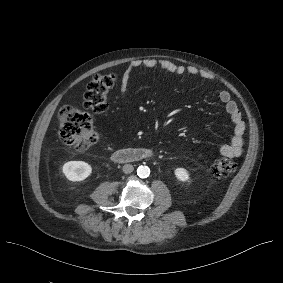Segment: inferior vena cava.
Segmentation results:
<instances>
[{
	"label": "inferior vena cava",
	"instance_id": "602c4592",
	"mask_svg": "<svg viewBox=\"0 0 283 283\" xmlns=\"http://www.w3.org/2000/svg\"><path fill=\"white\" fill-rule=\"evenodd\" d=\"M133 170H134V168H133V166L131 164L123 165V168H122L123 173L129 174V173H132Z\"/></svg>",
	"mask_w": 283,
	"mask_h": 283
}]
</instances>
